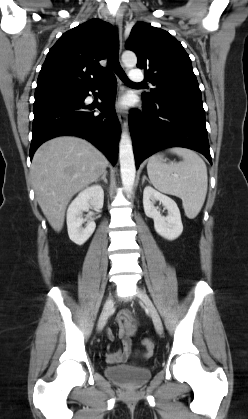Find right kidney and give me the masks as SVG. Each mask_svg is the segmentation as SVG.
I'll list each match as a JSON object with an SVG mask.
<instances>
[{"label":"right kidney","mask_w":248,"mask_h":419,"mask_svg":"<svg viewBox=\"0 0 248 419\" xmlns=\"http://www.w3.org/2000/svg\"><path fill=\"white\" fill-rule=\"evenodd\" d=\"M104 203V191L99 185H93L82 190L78 196L71 202L67 210V228L69 238L77 245H83L93 234L96 224L94 221H88L85 228H82L84 222L82 218L83 211L93 207L100 210Z\"/></svg>","instance_id":"obj_1"}]
</instances>
